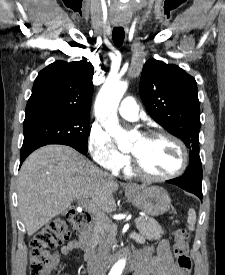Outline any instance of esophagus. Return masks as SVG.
Returning a JSON list of instances; mask_svg holds the SVG:
<instances>
[{"label":"esophagus","mask_w":225,"mask_h":275,"mask_svg":"<svg viewBox=\"0 0 225 275\" xmlns=\"http://www.w3.org/2000/svg\"><path fill=\"white\" fill-rule=\"evenodd\" d=\"M126 188L127 189H132V188H134V186L133 185H127Z\"/></svg>","instance_id":"34e87169"}]
</instances>
